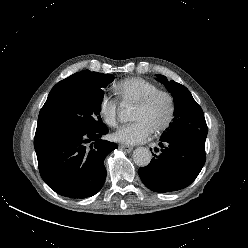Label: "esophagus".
Returning <instances> with one entry per match:
<instances>
[{
  "label": "esophagus",
  "instance_id": "esophagus-1",
  "mask_svg": "<svg viewBox=\"0 0 248 248\" xmlns=\"http://www.w3.org/2000/svg\"><path fill=\"white\" fill-rule=\"evenodd\" d=\"M119 147H120L121 149L127 151V152H131V151L133 150L132 147L126 146V145H122V144H121Z\"/></svg>",
  "mask_w": 248,
  "mask_h": 248
}]
</instances>
